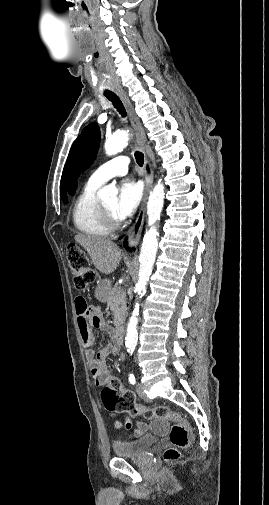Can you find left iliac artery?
I'll return each instance as SVG.
<instances>
[{
  "label": "left iliac artery",
  "mask_w": 269,
  "mask_h": 505,
  "mask_svg": "<svg viewBox=\"0 0 269 505\" xmlns=\"http://www.w3.org/2000/svg\"><path fill=\"white\" fill-rule=\"evenodd\" d=\"M129 382H130L131 384H135V383H136V379H135V376H134V374H133V373H130V374H129Z\"/></svg>",
  "instance_id": "44dca946"
}]
</instances>
